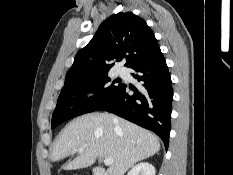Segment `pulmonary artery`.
<instances>
[{
    "mask_svg": "<svg viewBox=\"0 0 233 175\" xmlns=\"http://www.w3.org/2000/svg\"><path fill=\"white\" fill-rule=\"evenodd\" d=\"M118 73H119V74H123L124 71H123L122 69H119V70H118Z\"/></svg>",
    "mask_w": 233,
    "mask_h": 175,
    "instance_id": "obj_1",
    "label": "pulmonary artery"
}]
</instances>
